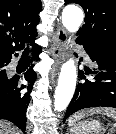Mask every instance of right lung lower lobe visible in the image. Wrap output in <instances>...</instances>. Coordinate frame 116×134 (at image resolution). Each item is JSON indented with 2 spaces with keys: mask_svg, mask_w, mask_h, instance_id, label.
<instances>
[{
  "mask_svg": "<svg viewBox=\"0 0 116 134\" xmlns=\"http://www.w3.org/2000/svg\"><path fill=\"white\" fill-rule=\"evenodd\" d=\"M32 46L34 47L35 53L41 52V48L35 43H33ZM37 58L38 56L35 57V59ZM24 77L30 82L27 92L25 93L21 92V89L25 86L22 85L21 88H19L18 79L16 78H11L8 83L0 86V118L14 123L23 132L26 128V110L30 101L32 83L37 75L32 70V67H30Z\"/></svg>",
  "mask_w": 116,
  "mask_h": 134,
  "instance_id": "right-lung-lower-lobe-1",
  "label": "right lung lower lobe"
}]
</instances>
